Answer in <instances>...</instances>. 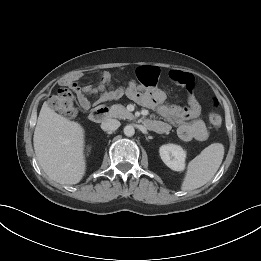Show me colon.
<instances>
[{
    "instance_id": "obj_1",
    "label": "colon",
    "mask_w": 261,
    "mask_h": 261,
    "mask_svg": "<svg viewBox=\"0 0 261 261\" xmlns=\"http://www.w3.org/2000/svg\"><path fill=\"white\" fill-rule=\"evenodd\" d=\"M50 105L65 118H73L77 114L75 98L68 88L59 89L57 94L51 97ZM208 120L212 129L220 128L222 119L217 112H211Z\"/></svg>"
}]
</instances>
